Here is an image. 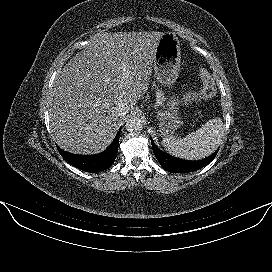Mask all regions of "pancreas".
Wrapping results in <instances>:
<instances>
[{
	"instance_id": "cf45deb5",
	"label": "pancreas",
	"mask_w": 272,
	"mask_h": 272,
	"mask_svg": "<svg viewBox=\"0 0 272 272\" xmlns=\"http://www.w3.org/2000/svg\"><path fill=\"white\" fill-rule=\"evenodd\" d=\"M156 95H157V97H158V103H159V104H162V103H163V93H162V91H160L158 88H157Z\"/></svg>"
}]
</instances>
